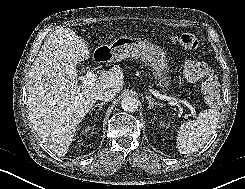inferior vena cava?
Returning a JSON list of instances; mask_svg holds the SVG:
<instances>
[{
  "instance_id": "obj_1",
  "label": "inferior vena cava",
  "mask_w": 245,
  "mask_h": 189,
  "mask_svg": "<svg viewBox=\"0 0 245 189\" xmlns=\"http://www.w3.org/2000/svg\"><path fill=\"white\" fill-rule=\"evenodd\" d=\"M115 95H116V93L110 88L102 89L98 93L97 99L108 102V101L113 100Z\"/></svg>"
}]
</instances>
